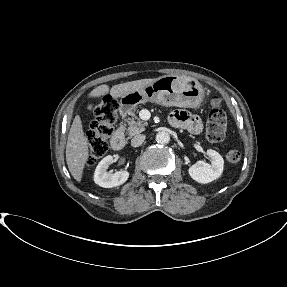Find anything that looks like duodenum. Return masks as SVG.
Instances as JSON below:
<instances>
[{"mask_svg": "<svg viewBox=\"0 0 287 287\" xmlns=\"http://www.w3.org/2000/svg\"><path fill=\"white\" fill-rule=\"evenodd\" d=\"M125 136L122 130H117L111 138V145L115 150H122L125 147Z\"/></svg>", "mask_w": 287, "mask_h": 287, "instance_id": "obj_1", "label": "duodenum"}]
</instances>
